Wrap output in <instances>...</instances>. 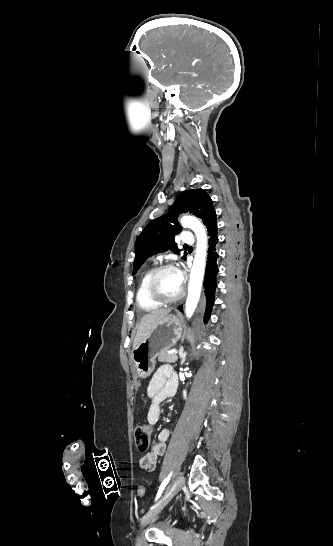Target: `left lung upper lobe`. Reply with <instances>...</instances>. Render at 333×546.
<instances>
[{"instance_id": "obj_1", "label": "left lung upper lobe", "mask_w": 333, "mask_h": 546, "mask_svg": "<svg viewBox=\"0 0 333 546\" xmlns=\"http://www.w3.org/2000/svg\"><path fill=\"white\" fill-rule=\"evenodd\" d=\"M185 212L192 213L202 219L205 226L216 215L212 200L203 189H192L182 192L170 210L163 216L149 222L135 242V260L133 274L144 261L159 252L168 249L179 252L175 244V236L181 231L177 217ZM187 253H184L183 259Z\"/></svg>"}]
</instances>
